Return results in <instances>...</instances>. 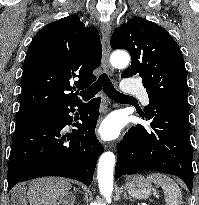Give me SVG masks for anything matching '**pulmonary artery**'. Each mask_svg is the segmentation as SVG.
Returning <instances> with one entry per match:
<instances>
[{
  "label": "pulmonary artery",
  "mask_w": 199,
  "mask_h": 205,
  "mask_svg": "<svg viewBox=\"0 0 199 205\" xmlns=\"http://www.w3.org/2000/svg\"><path fill=\"white\" fill-rule=\"evenodd\" d=\"M124 91L137 95L143 106H147L149 104L148 94L143 88H138L133 85H128L124 87Z\"/></svg>",
  "instance_id": "obj_1"
}]
</instances>
